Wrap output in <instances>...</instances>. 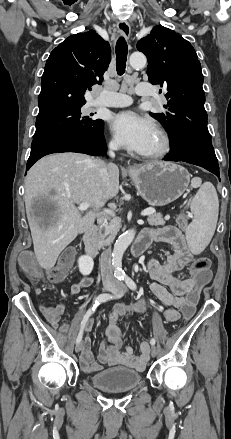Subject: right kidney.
<instances>
[{
    "mask_svg": "<svg viewBox=\"0 0 231 439\" xmlns=\"http://www.w3.org/2000/svg\"><path fill=\"white\" fill-rule=\"evenodd\" d=\"M79 271L82 275H89L94 267V261L92 257L88 255H83L78 259Z\"/></svg>",
    "mask_w": 231,
    "mask_h": 439,
    "instance_id": "right-kidney-1",
    "label": "right kidney"
}]
</instances>
